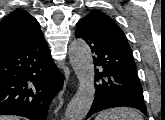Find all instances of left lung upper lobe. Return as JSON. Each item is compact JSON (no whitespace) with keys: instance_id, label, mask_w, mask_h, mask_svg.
<instances>
[{"instance_id":"obj_1","label":"left lung upper lobe","mask_w":165,"mask_h":120,"mask_svg":"<svg viewBox=\"0 0 165 120\" xmlns=\"http://www.w3.org/2000/svg\"><path fill=\"white\" fill-rule=\"evenodd\" d=\"M85 18L91 20L94 27L101 33L129 47L124 32L106 14L91 11Z\"/></svg>"}]
</instances>
